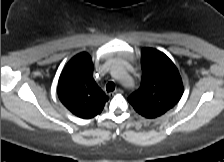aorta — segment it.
Instances as JSON below:
<instances>
[{
  "instance_id": "1",
  "label": "aorta",
  "mask_w": 224,
  "mask_h": 162,
  "mask_svg": "<svg viewBox=\"0 0 224 162\" xmlns=\"http://www.w3.org/2000/svg\"><path fill=\"white\" fill-rule=\"evenodd\" d=\"M112 73L122 83L128 84V85L133 84V80L131 76L125 71V69L120 63H117L116 65L113 66Z\"/></svg>"
}]
</instances>
